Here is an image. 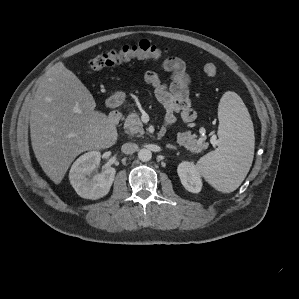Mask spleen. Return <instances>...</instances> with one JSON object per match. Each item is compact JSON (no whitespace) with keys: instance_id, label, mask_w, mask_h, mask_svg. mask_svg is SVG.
Wrapping results in <instances>:
<instances>
[{"instance_id":"1","label":"spleen","mask_w":299,"mask_h":299,"mask_svg":"<svg viewBox=\"0 0 299 299\" xmlns=\"http://www.w3.org/2000/svg\"><path fill=\"white\" fill-rule=\"evenodd\" d=\"M218 148L201 157L199 173L218 191L231 193L243 182L254 156V129L248 109L234 92L218 107Z\"/></svg>"}]
</instances>
